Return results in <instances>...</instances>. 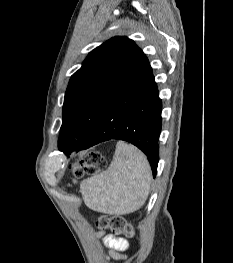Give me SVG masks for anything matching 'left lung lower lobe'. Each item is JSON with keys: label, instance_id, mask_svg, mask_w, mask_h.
<instances>
[{"label": "left lung lower lobe", "instance_id": "0a47b994", "mask_svg": "<svg viewBox=\"0 0 233 263\" xmlns=\"http://www.w3.org/2000/svg\"><path fill=\"white\" fill-rule=\"evenodd\" d=\"M161 110L152 68L145 56L104 109L87 140L82 144L58 141L59 150L69 156L73 151L87 149L103 141L124 140L145 153L155 177L159 161Z\"/></svg>", "mask_w": 233, "mask_h": 263}]
</instances>
